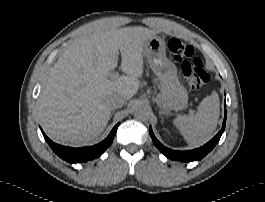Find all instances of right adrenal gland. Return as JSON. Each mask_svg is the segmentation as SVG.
I'll return each mask as SVG.
<instances>
[{"label": "right adrenal gland", "mask_w": 265, "mask_h": 202, "mask_svg": "<svg viewBox=\"0 0 265 202\" xmlns=\"http://www.w3.org/2000/svg\"><path fill=\"white\" fill-rule=\"evenodd\" d=\"M112 117V113L110 114V117H109V119Z\"/></svg>", "instance_id": "1"}]
</instances>
